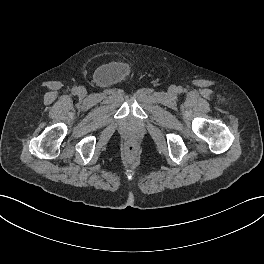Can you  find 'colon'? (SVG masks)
<instances>
[{
  "label": "colon",
  "mask_w": 264,
  "mask_h": 264,
  "mask_svg": "<svg viewBox=\"0 0 264 264\" xmlns=\"http://www.w3.org/2000/svg\"><path fill=\"white\" fill-rule=\"evenodd\" d=\"M127 151L129 153V155L132 156L134 151H135V144L134 143L128 144Z\"/></svg>",
  "instance_id": "colon-1"
}]
</instances>
